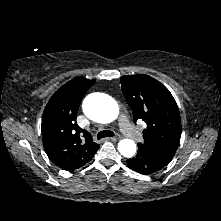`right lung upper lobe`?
Here are the masks:
<instances>
[{"label": "right lung upper lobe", "instance_id": "obj_1", "mask_svg": "<svg viewBox=\"0 0 221 221\" xmlns=\"http://www.w3.org/2000/svg\"><path fill=\"white\" fill-rule=\"evenodd\" d=\"M94 80L76 77L50 98L42 117L44 149L63 170H75L90 161L99 148L92 136L76 122L80 102Z\"/></svg>", "mask_w": 221, "mask_h": 221}]
</instances>
